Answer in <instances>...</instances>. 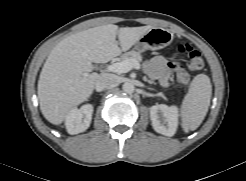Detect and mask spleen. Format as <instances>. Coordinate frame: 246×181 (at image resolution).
<instances>
[{
	"label": "spleen",
	"instance_id": "3e777b00",
	"mask_svg": "<svg viewBox=\"0 0 246 181\" xmlns=\"http://www.w3.org/2000/svg\"><path fill=\"white\" fill-rule=\"evenodd\" d=\"M211 96L210 78L205 74L195 76L181 104V120L184 132L196 130L200 126L208 112Z\"/></svg>",
	"mask_w": 246,
	"mask_h": 181
}]
</instances>
